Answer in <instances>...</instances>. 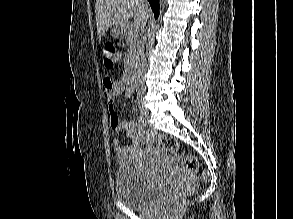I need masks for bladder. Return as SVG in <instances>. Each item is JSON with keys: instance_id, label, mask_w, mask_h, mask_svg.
Here are the masks:
<instances>
[{"instance_id": "bladder-1", "label": "bladder", "mask_w": 293, "mask_h": 219, "mask_svg": "<svg viewBox=\"0 0 293 219\" xmlns=\"http://www.w3.org/2000/svg\"><path fill=\"white\" fill-rule=\"evenodd\" d=\"M118 201L132 208H144L155 201L167 187L165 180L150 181L133 165H122L115 174Z\"/></svg>"}]
</instances>
